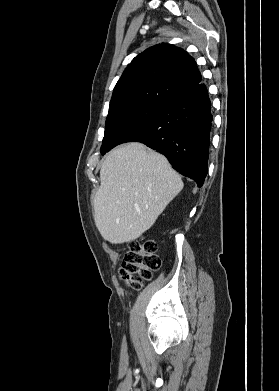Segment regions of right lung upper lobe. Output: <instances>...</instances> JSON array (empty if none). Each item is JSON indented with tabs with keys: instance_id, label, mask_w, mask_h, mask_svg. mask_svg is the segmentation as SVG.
<instances>
[{
	"instance_id": "cb5924a9",
	"label": "right lung upper lobe",
	"mask_w": 279,
	"mask_h": 391,
	"mask_svg": "<svg viewBox=\"0 0 279 391\" xmlns=\"http://www.w3.org/2000/svg\"><path fill=\"white\" fill-rule=\"evenodd\" d=\"M201 82L195 60L171 44H158L137 55L114 87L109 112L136 104H160Z\"/></svg>"
}]
</instances>
